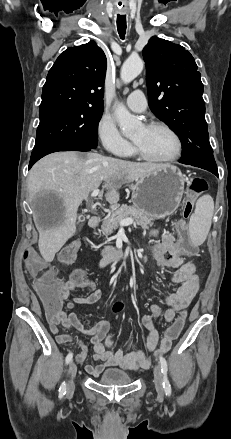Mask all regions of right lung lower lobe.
Instances as JSON below:
<instances>
[{
    "label": "right lung lower lobe",
    "mask_w": 231,
    "mask_h": 439,
    "mask_svg": "<svg viewBox=\"0 0 231 439\" xmlns=\"http://www.w3.org/2000/svg\"><path fill=\"white\" fill-rule=\"evenodd\" d=\"M92 148L80 146V145H62L51 147L47 149L33 150L31 154V159L29 163L30 169L35 162H37L40 158L44 157L47 154L58 152V151H90Z\"/></svg>",
    "instance_id": "obj_1"
}]
</instances>
